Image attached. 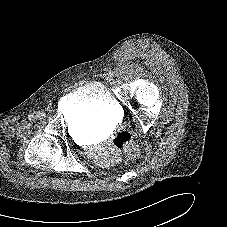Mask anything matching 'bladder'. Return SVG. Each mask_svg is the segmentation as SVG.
<instances>
[{"label": "bladder", "instance_id": "obj_1", "mask_svg": "<svg viewBox=\"0 0 227 227\" xmlns=\"http://www.w3.org/2000/svg\"><path fill=\"white\" fill-rule=\"evenodd\" d=\"M61 109L74 115L80 129L109 127L121 114L118 101L102 82L87 83L64 95Z\"/></svg>", "mask_w": 227, "mask_h": 227}]
</instances>
